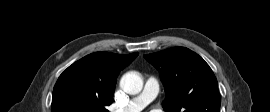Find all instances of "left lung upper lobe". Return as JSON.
I'll return each instance as SVG.
<instances>
[{
	"mask_svg": "<svg viewBox=\"0 0 270 112\" xmlns=\"http://www.w3.org/2000/svg\"><path fill=\"white\" fill-rule=\"evenodd\" d=\"M160 74L167 112H219L217 79L209 65L185 47H173L144 56Z\"/></svg>",
	"mask_w": 270,
	"mask_h": 112,
	"instance_id": "obj_1",
	"label": "left lung upper lobe"
}]
</instances>
